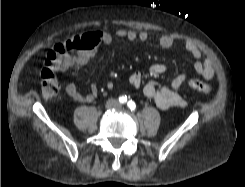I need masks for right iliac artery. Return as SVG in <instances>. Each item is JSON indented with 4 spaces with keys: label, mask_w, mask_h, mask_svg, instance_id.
I'll list each match as a JSON object with an SVG mask.
<instances>
[{
    "label": "right iliac artery",
    "mask_w": 245,
    "mask_h": 187,
    "mask_svg": "<svg viewBox=\"0 0 245 187\" xmlns=\"http://www.w3.org/2000/svg\"><path fill=\"white\" fill-rule=\"evenodd\" d=\"M119 102L122 103V104H123V103H126V102H127V97L124 96V95H123V96H120V97H119Z\"/></svg>",
    "instance_id": "right-iliac-artery-1"
}]
</instances>
